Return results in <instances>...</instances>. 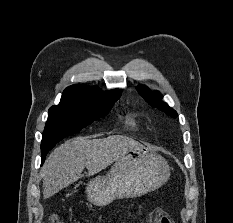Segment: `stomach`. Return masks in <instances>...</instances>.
Segmentation results:
<instances>
[{
  "label": "stomach",
  "instance_id": "obj_1",
  "mask_svg": "<svg viewBox=\"0 0 233 223\" xmlns=\"http://www.w3.org/2000/svg\"><path fill=\"white\" fill-rule=\"evenodd\" d=\"M169 177V165L164 157L139 143L118 157L105 175L90 179L86 195L93 205H109L114 199L140 197L155 191Z\"/></svg>",
  "mask_w": 233,
  "mask_h": 223
}]
</instances>
